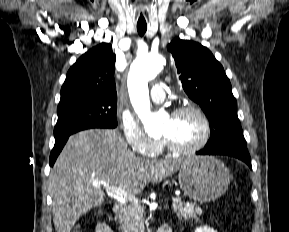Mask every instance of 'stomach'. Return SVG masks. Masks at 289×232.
<instances>
[{"instance_id": "stomach-1", "label": "stomach", "mask_w": 289, "mask_h": 232, "mask_svg": "<svg viewBox=\"0 0 289 232\" xmlns=\"http://www.w3.org/2000/svg\"><path fill=\"white\" fill-rule=\"evenodd\" d=\"M231 176L223 162L214 157L194 156L179 167L178 181L190 199L210 202L225 193Z\"/></svg>"}]
</instances>
